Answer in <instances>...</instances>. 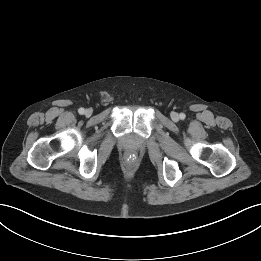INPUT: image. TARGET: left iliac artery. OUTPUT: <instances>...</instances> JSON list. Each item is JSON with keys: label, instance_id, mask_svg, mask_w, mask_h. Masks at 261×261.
<instances>
[{"label": "left iliac artery", "instance_id": "obj_1", "mask_svg": "<svg viewBox=\"0 0 261 261\" xmlns=\"http://www.w3.org/2000/svg\"><path fill=\"white\" fill-rule=\"evenodd\" d=\"M185 117H186V116H185V114H184V113H181V114H180V119L184 120V119H185Z\"/></svg>", "mask_w": 261, "mask_h": 261}]
</instances>
